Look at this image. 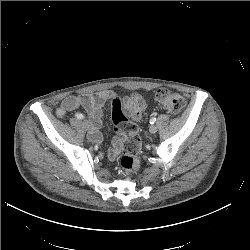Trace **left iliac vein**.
<instances>
[{"label":"left iliac vein","mask_w":250,"mask_h":250,"mask_svg":"<svg viewBox=\"0 0 250 250\" xmlns=\"http://www.w3.org/2000/svg\"><path fill=\"white\" fill-rule=\"evenodd\" d=\"M157 127L155 126V125H152L150 128H149V131H150V133H152V134H155L156 132H157Z\"/></svg>","instance_id":"obj_1"}]
</instances>
